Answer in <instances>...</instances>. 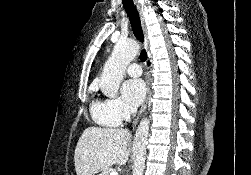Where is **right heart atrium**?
Listing matches in <instances>:
<instances>
[{"mask_svg":"<svg viewBox=\"0 0 251 175\" xmlns=\"http://www.w3.org/2000/svg\"><path fill=\"white\" fill-rule=\"evenodd\" d=\"M105 107L108 115L118 124L129 120L135 114L134 109L120 98L107 99Z\"/></svg>","mask_w":251,"mask_h":175,"instance_id":"1","label":"right heart atrium"}]
</instances>
